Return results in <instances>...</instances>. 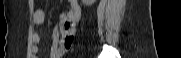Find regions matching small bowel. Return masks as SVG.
<instances>
[{"instance_id":"small-bowel-1","label":"small bowel","mask_w":181,"mask_h":58,"mask_svg":"<svg viewBox=\"0 0 181 58\" xmlns=\"http://www.w3.org/2000/svg\"><path fill=\"white\" fill-rule=\"evenodd\" d=\"M81 18V8L77 0H69L66 11L59 18L58 26L53 32V45L51 48L50 58H62L63 55L71 48L76 32V25ZM35 24H42L45 21V12L36 10L33 14ZM33 46L32 53L36 58L39 47L40 36L37 33L32 37Z\"/></svg>"}]
</instances>
